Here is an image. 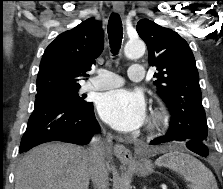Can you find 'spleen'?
Instances as JSON below:
<instances>
[{
	"mask_svg": "<svg viewBox=\"0 0 223 189\" xmlns=\"http://www.w3.org/2000/svg\"><path fill=\"white\" fill-rule=\"evenodd\" d=\"M155 165L166 167L184 178L190 189H218L212 172L202 162L189 154L170 151L160 156Z\"/></svg>",
	"mask_w": 223,
	"mask_h": 189,
	"instance_id": "1",
	"label": "spleen"
}]
</instances>
